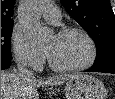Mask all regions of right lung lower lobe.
Here are the masks:
<instances>
[{"mask_svg": "<svg viewBox=\"0 0 115 99\" xmlns=\"http://www.w3.org/2000/svg\"><path fill=\"white\" fill-rule=\"evenodd\" d=\"M11 65V61H1V70L7 69Z\"/></svg>", "mask_w": 115, "mask_h": 99, "instance_id": "98d812e1", "label": "right lung lower lobe"}]
</instances>
